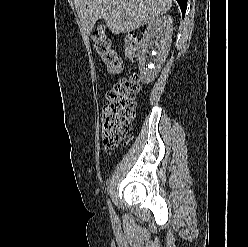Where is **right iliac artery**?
Segmentation results:
<instances>
[{
  "mask_svg": "<svg viewBox=\"0 0 248 247\" xmlns=\"http://www.w3.org/2000/svg\"><path fill=\"white\" fill-rule=\"evenodd\" d=\"M108 205H109V209H110L111 215H114V210H113V207H112V205H111L110 200H108Z\"/></svg>",
  "mask_w": 248,
  "mask_h": 247,
  "instance_id": "right-iliac-artery-1",
  "label": "right iliac artery"
}]
</instances>
